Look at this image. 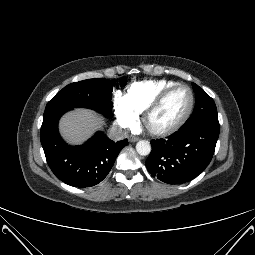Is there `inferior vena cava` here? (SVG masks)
I'll use <instances>...</instances> for the list:
<instances>
[{"instance_id": "1", "label": "inferior vena cava", "mask_w": 255, "mask_h": 255, "mask_svg": "<svg viewBox=\"0 0 255 255\" xmlns=\"http://www.w3.org/2000/svg\"><path fill=\"white\" fill-rule=\"evenodd\" d=\"M108 136L111 139L117 141V140H122V139L126 138L128 136V132L123 129L112 127L108 132Z\"/></svg>"}]
</instances>
